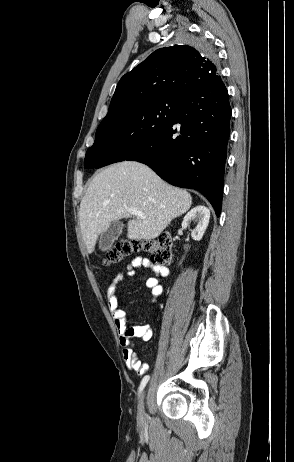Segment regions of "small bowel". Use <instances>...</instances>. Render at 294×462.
<instances>
[{"label":"small bowel","instance_id":"small-bowel-1","mask_svg":"<svg viewBox=\"0 0 294 462\" xmlns=\"http://www.w3.org/2000/svg\"><path fill=\"white\" fill-rule=\"evenodd\" d=\"M139 268L150 269L154 273V276L146 280V287L151 291V302H156L163 292L160 280L168 276L169 269L163 265L153 264L144 257L134 258L126 266L125 272H119L113 277L107 289L106 301L119 334V344L122 348L125 365L129 370L143 375L148 370V364L143 363L134 351V340L149 341L152 338L153 331L149 324H138L128 327L127 312L119 306L117 297L118 288L126 282L127 277L134 276L136 270Z\"/></svg>","mask_w":294,"mask_h":462}]
</instances>
